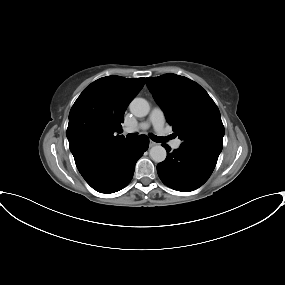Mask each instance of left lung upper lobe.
Wrapping results in <instances>:
<instances>
[{"instance_id": "5c2ea615", "label": "left lung upper lobe", "mask_w": 285, "mask_h": 285, "mask_svg": "<svg viewBox=\"0 0 285 285\" xmlns=\"http://www.w3.org/2000/svg\"><path fill=\"white\" fill-rule=\"evenodd\" d=\"M158 105L183 141L181 146L219 156L224 126L208 93L194 81L176 74L146 78Z\"/></svg>"}]
</instances>
